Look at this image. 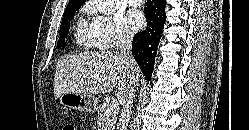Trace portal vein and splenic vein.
<instances>
[{
    "label": "portal vein and splenic vein",
    "mask_w": 249,
    "mask_h": 130,
    "mask_svg": "<svg viewBox=\"0 0 249 130\" xmlns=\"http://www.w3.org/2000/svg\"><path fill=\"white\" fill-rule=\"evenodd\" d=\"M119 111V104L112 102L105 111L106 116L116 115Z\"/></svg>",
    "instance_id": "1"
}]
</instances>
